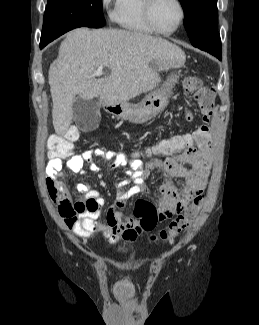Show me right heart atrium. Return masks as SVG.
<instances>
[{
	"label": "right heart atrium",
	"instance_id": "right-heart-atrium-1",
	"mask_svg": "<svg viewBox=\"0 0 259 325\" xmlns=\"http://www.w3.org/2000/svg\"><path fill=\"white\" fill-rule=\"evenodd\" d=\"M116 2L117 0H101V5L109 14H112L115 10Z\"/></svg>",
	"mask_w": 259,
	"mask_h": 325
}]
</instances>
